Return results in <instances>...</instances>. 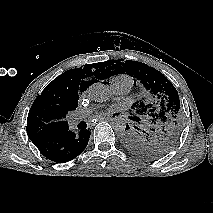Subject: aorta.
<instances>
[{
	"mask_svg": "<svg viewBox=\"0 0 213 213\" xmlns=\"http://www.w3.org/2000/svg\"><path fill=\"white\" fill-rule=\"evenodd\" d=\"M89 97L96 102H104L111 96V90L103 83H94L88 88ZM126 120L123 117H116L112 122V127L118 132H123L126 128Z\"/></svg>",
	"mask_w": 213,
	"mask_h": 213,
	"instance_id": "obj_1",
	"label": "aorta"
}]
</instances>
